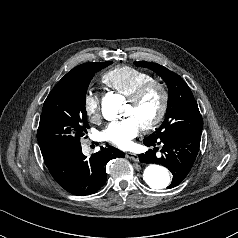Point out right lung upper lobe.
Listing matches in <instances>:
<instances>
[{
    "instance_id": "obj_1",
    "label": "right lung upper lobe",
    "mask_w": 238,
    "mask_h": 238,
    "mask_svg": "<svg viewBox=\"0 0 238 238\" xmlns=\"http://www.w3.org/2000/svg\"><path fill=\"white\" fill-rule=\"evenodd\" d=\"M87 64H88V63L82 64V65H79V66L75 67V68L72 69L69 73H67L65 76H70V75H72V74H74V73L80 71V70L83 69ZM47 155H49V154H45V155H43V157H45V156H47Z\"/></svg>"
}]
</instances>
